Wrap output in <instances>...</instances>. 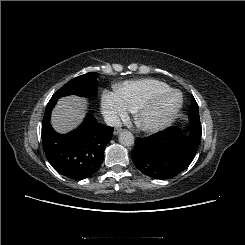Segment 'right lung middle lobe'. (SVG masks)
<instances>
[{
  "label": "right lung middle lobe",
  "mask_w": 245,
  "mask_h": 245,
  "mask_svg": "<svg viewBox=\"0 0 245 245\" xmlns=\"http://www.w3.org/2000/svg\"><path fill=\"white\" fill-rule=\"evenodd\" d=\"M97 77L98 73L90 72L70 80L52 96L50 101H57L60 97L67 95L88 96L95 94L98 86Z\"/></svg>",
  "instance_id": "right-lung-middle-lobe-1"
}]
</instances>
